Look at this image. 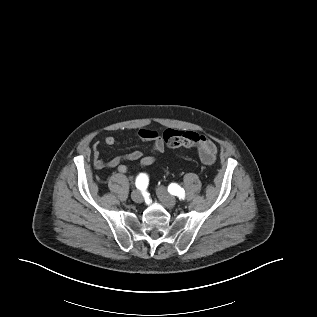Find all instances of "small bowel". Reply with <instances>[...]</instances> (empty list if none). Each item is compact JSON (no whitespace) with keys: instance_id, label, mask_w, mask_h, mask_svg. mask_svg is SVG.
Segmentation results:
<instances>
[{"instance_id":"1","label":"small bowel","mask_w":317,"mask_h":317,"mask_svg":"<svg viewBox=\"0 0 317 317\" xmlns=\"http://www.w3.org/2000/svg\"><path fill=\"white\" fill-rule=\"evenodd\" d=\"M137 137L146 142L152 143L153 153H162L165 149L164 141L161 136L154 130L140 129L137 132ZM104 144L107 146H115L118 141L113 136H106ZM197 150L201 161L205 164H212L215 161L217 147L215 143L204 135H200V141L197 145ZM138 161L139 166L144 168L152 165L156 161L154 155H144L140 150H134L127 154L116 156L109 160H104L101 157L100 145L96 144L93 148V164L97 169L116 168L121 174H127L128 168L125 162Z\"/></svg>"}]
</instances>
